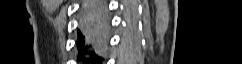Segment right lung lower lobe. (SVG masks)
Segmentation results:
<instances>
[{
    "label": "right lung lower lobe",
    "mask_w": 242,
    "mask_h": 64,
    "mask_svg": "<svg viewBox=\"0 0 242 64\" xmlns=\"http://www.w3.org/2000/svg\"><path fill=\"white\" fill-rule=\"evenodd\" d=\"M104 0L84 3L80 28L77 34V61L82 64L102 62L101 54L108 41L109 17Z\"/></svg>",
    "instance_id": "obj_1"
}]
</instances>
